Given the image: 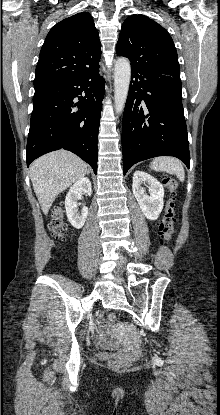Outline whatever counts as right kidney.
<instances>
[{
	"label": "right kidney",
	"instance_id": "right-kidney-1",
	"mask_svg": "<svg viewBox=\"0 0 220 415\" xmlns=\"http://www.w3.org/2000/svg\"><path fill=\"white\" fill-rule=\"evenodd\" d=\"M92 194L91 182L85 177L78 180L70 188L65 199V209L69 222L76 229H81L88 216V208L83 207L81 213L78 212L77 200H80L82 194Z\"/></svg>",
	"mask_w": 220,
	"mask_h": 415
}]
</instances>
